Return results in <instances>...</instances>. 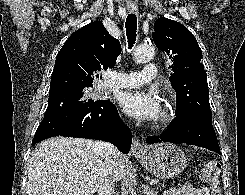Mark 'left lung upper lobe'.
<instances>
[{"label": "left lung upper lobe", "instance_id": "left-lung-upper-lobe-1", "mask_svg": "<svg viewBox=\"0 0 245 195\" xmlns=\"http://www.w3.org/2000/svg\"><path fill=\"white\" fill-rule=\"evenodd\" d=\"M152 35L157 48L173 62L169 79L176 92V116L199 113L212 117L207 74L193 34L184 25L161 17L155 22Z\"/></svg>", "mask_w": 245, "mask_h": 195}]
</instances>
